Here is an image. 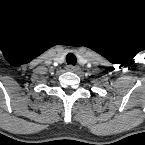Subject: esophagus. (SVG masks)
<instances>
[{
  "instance_id": "1",
  "label": "esophagus",
  "mask_w": 145,
  "mask_h": 145,
  "mask_svg": "<svg viewBox=\"0 0 145 145\" xmlns=\"http://www.w3.org/2000/svg\"><path fill=\"white\" fill-rule=\"evenodd\" d=\"M66 69L70 72H75L78 70V67L73 66V65H68Z\"/></svg>"
}]
</instances>
